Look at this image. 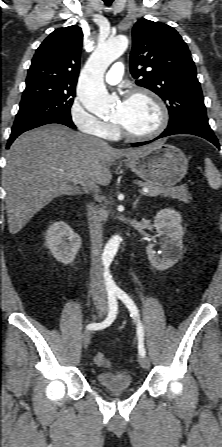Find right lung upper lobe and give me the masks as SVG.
I'll list each match as a JSON object with an SVG mask.
<instances>
[{
    "mask_svg": "<svg viewBox=\"0 0 222 447\" xmlns=\"http://www.w3.org/2000/svg\"><path fill=\"white\" fill-rule=\"evenodd\" d=\"M82 29L58 28L39 46L28 70L26 88L51 85L76 87L79 76Z\"/></svg>",
    "mask_w": 222,
    "mask_h": 447,
    "instance_id": "cb5924a9",
    "label": "right lung upper lobe"
}]
</instances>
